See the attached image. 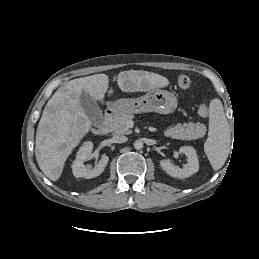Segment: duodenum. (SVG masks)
Returning <instances> with one entry per match:
<instances>
[{"mask_svg": "<svg viewBox=\"0 0 259 259\" xmlns=\"http://www.w3.org/2000/svg\"><path fill=\"white\" fill-rule=\"evenodd\" d=\"M115 110L114 109H107L104 115V121L92 128V132L96 135H105L108 131V122L114 116Z\"/></svg>", "mask_w": 259, "mask_h": 259, "instance_id": "obj_1", "label": "duodenum"}]
</instances>
